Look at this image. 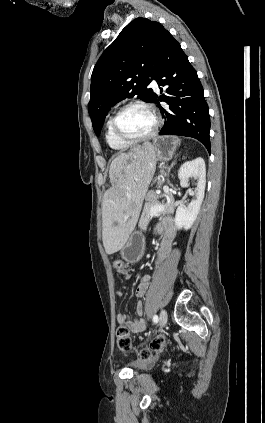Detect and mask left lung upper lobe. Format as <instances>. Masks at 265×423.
<instances>
[{"label":"left lung upper lobe","mask_w":265,"mask_h":423,"mask_svg":"<svg viewBox=\"0 0 265 423\" xmlns=\"http://www.w3.org/2000/svg\"><path fill=\"white\" fill-rule=\"evenodd\" d=\"M169 35L158 22L136 18L101 55L91 76L88 103L97 136L116 103L134 96L154 101L156 94L148 85L159 68Z\"/></svg>","instance_id":"5c2ea615"}]
</instances>
